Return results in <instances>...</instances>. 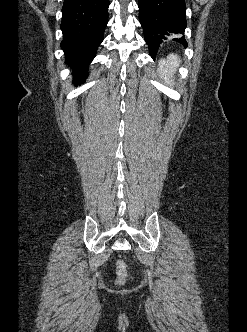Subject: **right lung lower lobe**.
I'll return each instance as SVG.
<instances>
[{"label":"right lung lower lobe","mask_w":247,"mask_h":332,"mask_svg":"<svg viewBox=\"0 0 247 332\" xmlns=\"http://www.w3.org/2000/svg\"><path fill=\"white\" fill-rule=\"evenodd\" d=\"M109 0H64L61 48L75 83H84L108 23Z\"/></svg>","instance_id":"98d812e1"}]
</instances>
